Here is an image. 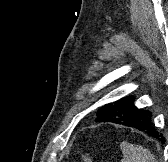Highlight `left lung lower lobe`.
<instances>
[{"instance_id":"left-lung-lower-lobe-1","label":"left lung lower lobe","mask_w":168,"mask_h":162,"mask_svg":"<svg viewBox=\"0 0 168 162\" xmlns=\"http://www.w3.org/2000/svg\"><path fill=\"white\" fill-rule=\"evenodd\" d=\"M133 102L134 97L128 96L107 104L102 109V117L95 119V121L112 122L133 127L165 143V138L153 127L152 113L147 110H139L133 105Z\"/></svg>"}]
</instances>
